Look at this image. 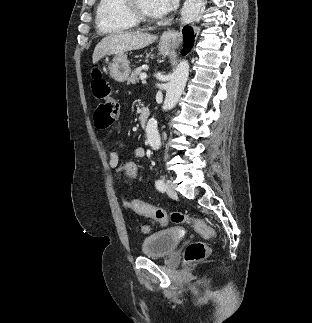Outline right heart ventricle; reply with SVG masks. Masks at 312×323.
<instances>
[{"label":"right heart ventricle","instance_id":"right-heart-ventricle-1","mask_svg":"<svg viewBox=\"0 0 312 323\" xmlns=\"http://www.w3.org/2000/svg\"><path fill=\"white\" fill-rule=\"evenodd\" d=\"M125 1L100 0L95 5L94 25L99 33H116L117 29H134L135 18Z\"/></svg>","mask_w":312,"mask_h":323}]
</instances>
